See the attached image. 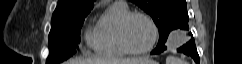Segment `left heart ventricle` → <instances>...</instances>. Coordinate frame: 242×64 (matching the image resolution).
<instances>
[{"label":"left heart ventricle","instance_id":"1","mask_svg":"<svg viewBox=\"0 0 242 64\" xmlns=\"http://www.w3.org/2000/svg\"><path fill=\"white\" fill-rule=\"evenodd\" d=\"M126 38L133 49L141 50L147 47L152 39V29L148 21L142 17L132 18L126 29Z\"/></svg>","mask_w":242,"mask_h":64}]
</instances>
